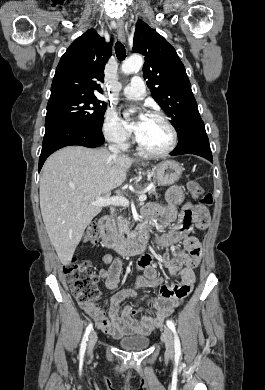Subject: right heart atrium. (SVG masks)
Instances as JSON below:
<instances>
[{
	"instance_id": "right-heart-atrium-1",
	"label": "right heart atrium",
	"mask_w": 265,
	"mask_h": 390,
	"mask_svg": "<svg viewBox=\"0 0 265 390\" xmlns=\"http://www.w3.org/2000/svg\"><path fill=\"white\" fill-rule=\"evenodd\" d=\"M102 131L105 138L118 148H128L131 133L113 109L106 110L103 118Z\"/></svg>"
}]
</instances>
